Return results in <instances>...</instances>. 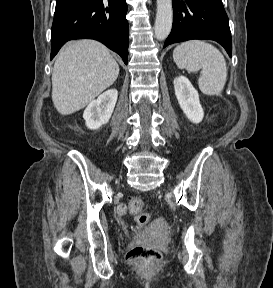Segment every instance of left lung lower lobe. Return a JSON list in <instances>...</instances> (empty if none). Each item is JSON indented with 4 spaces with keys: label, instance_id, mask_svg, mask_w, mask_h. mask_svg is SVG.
Masks as SVG:
<instances>
[{
    "label": "left lung lower lobe",
    "instance_id": "0a47b994",
    "mask_svg": "<svg viewBox=\"0 0 273 288\" xmlns=\"http://www.w3.org/2000/svg\"><path fill=\"white\" fill-rule=\"evenodd\" d=\"M172 4L173 27L164 47L191 39H211L231 57V32L221 0H172Z\"/></svg>",
    "mask_w": 273,
    "mask_h": 288
}]
</instances>
